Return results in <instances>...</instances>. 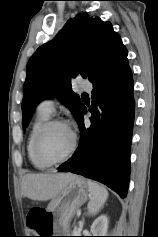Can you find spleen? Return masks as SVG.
<instances>
[{
    "label": "spleen",
    "mask_w": 158,
    "mask_h": 237,
    "mask_svg": "<svg viewBox=\"0 0 158 237\" xmlns=\"http://www.w3.org/2000/svg\"><path fill=\"white\" fill-rule=\"evenodd\" d=\"M87 185L92 195L88 203V211L90 214L94 215L106 202L108 198V191L105 187L91 180L87 181Z\"/></svg>",
    "instance_id": "obj_1"
}]
</instances>
